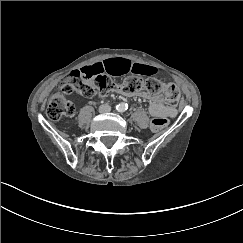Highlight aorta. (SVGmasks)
Wrapping results in <instances>:
<instances>
[{
    "mask_svg": "<svg viewBox=\"0 0 243 243\" xmlns=\"http://www.w3.org/2000/svg\"><path fill=\"white\" fill-rule=\"evenodd\" d=\"M117 110H118L119 112H123V111H125V110H126V105H125V103H120V104L117 106Z\"/></svg>",
    "mask_w": 243,
    "mask_h": 243,
    "instance_id": "1",
    "label": "aorta"
}]
</instances>
